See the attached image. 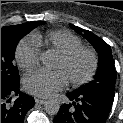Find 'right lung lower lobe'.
Listing matches in <instances>:
<instances>
[{"instance_id": "right-lung-lower-lobe-1", "label": "right lung lower lobe", "mask_w": 123, "mask_h": 123, "mask_svg": "<svg viewBox=\"0 0 123 123\" xmlns=\"http://www.w3.org/2000/svg\"><path fill=\"white\" fill-rule=\"evenodd\" d=\"M19 86L1 82V123H23L27 111L35 105L34 98L20 92ZM12 95L18 98L9 105Z\"/></svg>"}]
</instances>
